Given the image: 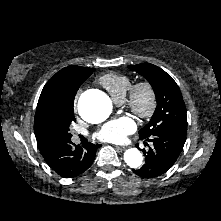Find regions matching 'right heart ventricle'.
Instances as JSON below:
<instances>
[{
    "label": "right heart ventricle",
    "mask_w": 221,
    "mask_h": 221,
    "mask_svg": "<svg viewBox=\"0 0 221 221\" xmlns=\"http://www.w3.org/2000/svg\"><path fill=\"white\" fill-rule=\"evenodd\" d=\"M99 83L108 90L114 100H123L132 85V80L125 74L107 73L99 78Z\"/></svg>",
    "instance_id": "obj_1"
}]
</instances>
